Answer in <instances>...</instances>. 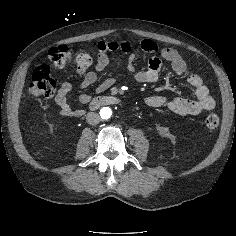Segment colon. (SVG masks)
Listing matches in <instances>:
<instances>
[{"label": "colon", "instance_id": "obj_1", "mask_svg": "<svg viewBox=\"0 0 236 236\" xmlns=\"http://www.w3.org/2000/svg\"><path fill=\"white\" fill-rule=\"evenodd\" d=\"M51 62L57 67H64L74 60L77 71L84 73L92 64V54L88 51L75 53L67 45H59L50 48L48 52ZM58 80L52 76L49 66H39L32 74L29 84V93L34 98H48L54 95L58 88ZM220 119L217 114L209 113L205 116L204 123L214 129L219 125Z\"/></svg>", "mask_w": 236, "mask_h": 236}]
</instances>
